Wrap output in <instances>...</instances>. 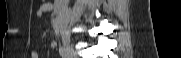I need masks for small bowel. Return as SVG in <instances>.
I'll return each mask as SVG.
<instances>
[{
	"label": "small bowel",
	"instance_id": "c3829d8e",
	"mask_svg": "<svg viewBox=\"0 0 181 58\" xmlns=\"http://www.w3.org/2000/svg\"><path fill=\"white\" fill-rule=\"evenodd\" d=\"M53 9V5L51 3H44L42 4L39 9L37 10V15L38 16H43L45 15L47 12L51 11ZM51 46L54 48L56 46L55 43H52ZM31 57L32 58H38L39 54L37 51H32L31 53Z\"/></svg>",
	"mask_w": 181,
	"mask_h": 58
}]
</instances>
